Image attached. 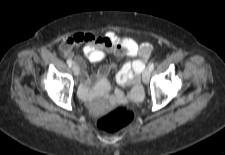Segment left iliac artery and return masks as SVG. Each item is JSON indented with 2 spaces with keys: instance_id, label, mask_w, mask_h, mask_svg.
I'll return each instance as SVG.
<instances>
[{
  "instance_id": "obj_1",
  "label": "left iliac artery",
  "mask_w": 225,
  "mask_h": 155,
  "mask_svg": "<svg viewBox=\"0 0 225 155\" xmlns=\"http://www.w3.org/2000/svg\"><path fill=\"white\" fill-rule=\"evenodd\" d=\"M148 69L152 71L154 69V63H150Z\"/></svg>"
}]
</instances>
